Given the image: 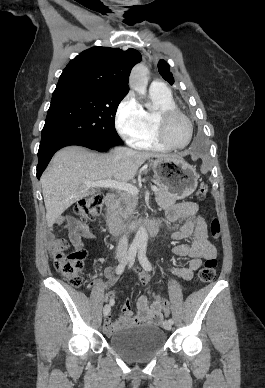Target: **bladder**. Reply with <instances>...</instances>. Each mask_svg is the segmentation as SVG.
Returning a JSON list of instances; mask_svg holds the SVG:
<instances>
[{
    "label": "bladder",
    "mask_w": 265,
    "mask_h": 388,
    "mask_svg": "<svg viewBox=\"0 0 265 388\" xmlns=\"http://www.w3.org/2000/svg\"><path fill=\"white\" fill-rule=\"evenodd\" d=\"M166 339L165 332L152 325L121 329L110 336L109 343L122 357L142 361L156 353L165 344Z\"/></svg>",
    "instance_id": "bladder-1"
}]
</instances>
